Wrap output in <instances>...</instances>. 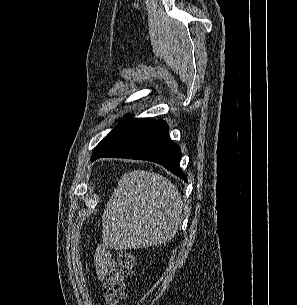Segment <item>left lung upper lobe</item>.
Segmentation results:
<instances>
[{
  "label": "left lung upper lobe",
  "instance_id": "5c2ea615",
  "mask_svg": "<svg viewBox=\"0 0 297 305\" xmlns=\"http://www.w3.org/2000/svg\"><path fill=\"white\" fill-rule=\"evenodd\" d=\"M100 144H101V142L98 144V146L96 147V149L100 146ZM96 149H95V150H96Z\"/></svg>",
  "mask_w": 297,
  "mask_h": 305
}]
</instances>
